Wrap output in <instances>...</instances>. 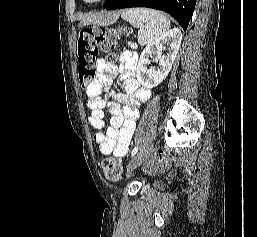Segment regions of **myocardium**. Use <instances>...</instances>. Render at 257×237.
<instances>
[{"mask_svg":"<svg viewBox=\"0 0 257 237\" xmlns=\"http://www.w3.org/2000/svg\"><path fill=\"white\" fill-rule=\"evenodd\" d=\"M104 1H106V0H83L84 3L89 4V5L98 4V3H101Z\"/></svg>","mask_w":257,"mask_h":237,"instance_id":"obj_1","label":"myocardium"}]
</instances>
